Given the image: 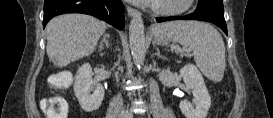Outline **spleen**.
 Here are the masks:
<instances>
[{"instance_id":"obj_1","label":"spleen","mask_w":273,"mask_h":118,"mask_svg":"<svg viewBox=\"0 0 273 118\" xmlns=\"http://www.w3.org/2000/svg\"><path fill=\"white\" fill-rule=\"evenodd\" d=\"M155 38L166 36L174 43L193 50L201 72L210 80L220 82L225 71V46L220 33L199 21H174L156 26Z\"/></svg>"}]
</instances>
